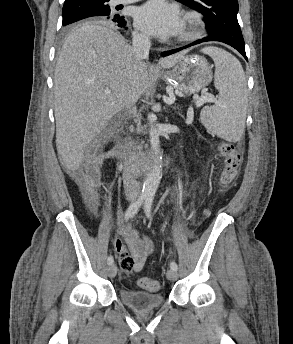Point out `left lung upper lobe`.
Segmentation results:
<instances>
[{
  "mask_svg": "<svg viewBox=\"0 0 293 344\" xmlns=\"http://www.w3.org/2000/svg\"><path fill=\"white\" fill-rule=\"evenodd\" d=\"M205 17L204 22L209 36L224 38L244 44L237 20V0H177Z\"/></svg>",
  "mask_w": 293,
  "mask_h": 344,
  "instance_id": "left-lung-upper-lobe-1",
  "label": "left lung upper lobe"
}]
</instances>
